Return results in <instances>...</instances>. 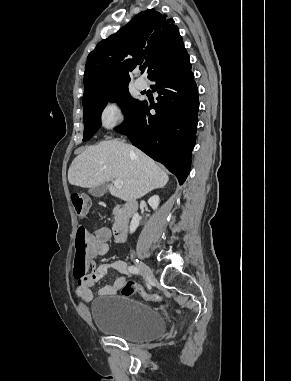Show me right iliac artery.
I'll return each mask as SVG.
<instances>
[{"mask_svg":"<svg viewBox=\"0 0 291 381\" xmlns=\"http://www.w3.org/2000/svg\"><path fill=\"white\" fill-rule=\"evenodd\" d=\"M128 270L132 274H140V269L138 267L134 266V265H130L128 267Z\"/></svg>","mask_w":291,"mask_h":381,"instance_id":"1","label":"right iliac artery"}]
</instances>
